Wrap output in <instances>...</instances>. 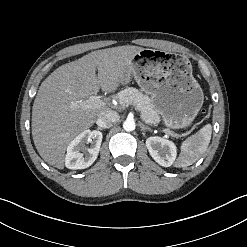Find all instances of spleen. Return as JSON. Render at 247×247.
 Returning <instances> with one entry per match:
<instances>
[{
	"mask_svg": "<svg viewBox=\"0 0 247 247\" xmlns=\"http://www.w3.org/2000/svg\"><path fill=\"white\" fill-rule=\"evenodd\" d=\"M212 134L211 124H206L197 133L188 137L181 145L175 167L185 168L195 163L207 150Z\"/></svg>",
	"mask_w": 247,
	"mask_h": 247,
	"instance_id": "obj_1",
	"label": "spleen"
}]
</instances>
